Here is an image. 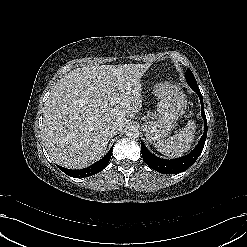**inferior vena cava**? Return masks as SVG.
I'll return each mask as SVG.
<instances>
[{
  "label": "inferior vena cava",
  "mask_w": 247,
  "mask_h": 247,
  "mask_svg": "<svg viewBox=\"0 0 247 247\" xmlns=\"http://www.w3.org/2000/svg\"><path fill=\"white\" fill-rule=\"evenodd\" d=\"M121 130V126L117 123H113L106 128V132L110 137L115 136Z\"/></svg>",
  "instance_id": "602c4592"
}]
</instances>
